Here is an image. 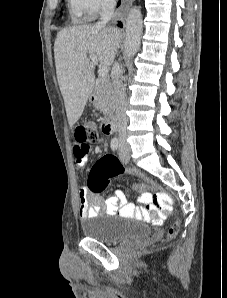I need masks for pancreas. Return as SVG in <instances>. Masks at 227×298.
I'll return each mask as SVG.
<instances>
[{
  "instance_id": "obj_1",
  "label": "pancreas",
  "mask_w": 227,
  "mask_h": 298,
  "mask_svg": "<svg viewBox=\"0 0 227 298\" xmlns=\"http://www.w3.org/2000/svg\"><path fill=\"white\" fill-rule=\"evenodd\" d=\"M95 107L104 115H108L115 110V97L112 84L108 78L100 79L95 85Z\"/></svg>"
}]
</instances>
